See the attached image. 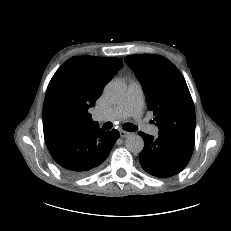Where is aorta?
Wrapping results in <instances>:
<instances>
[{
	"label": "aorta",
	"mask_w": 231,
	"mask_h": 231,
	"mask_svg": "<svg viewBox=\"0 0 231 231\" xmlns=\"http://www.w3.org/2000/svg\"><path fill=\"white\" fill-rule=\"evenodd\" d=\"M105 97L112 103H119L126 97V87L120 81H111L104 88ZM126 148L132 153H140L144 148V141L141 136L131 134L127 137Z\"/></svg>",
	"instance_id": "1"
}]
</instances>
